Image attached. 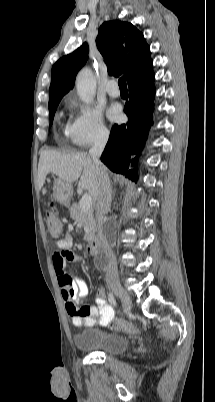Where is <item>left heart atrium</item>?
I'll use <instances>...</instances> for the list:
<instances>
[{
    "instance_id": "left-heart-atrium-1",
    "label": "left heart atrium",
    "mask_w": 215,
    "mask_h": 402,
    "mask_svg": "<svg viewBox=\"0 0 215 402\" xmlns=\"http://www.w3.org/2000/svg\"><path fill=\"white\" fill-rule=\"evenodd\" d=\"M121 112L118 106H113L109 112L108 116L111 120H118L120 118Z\"/></svg>"
}]
</instances>
